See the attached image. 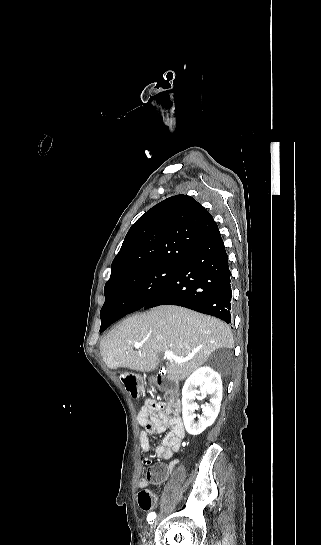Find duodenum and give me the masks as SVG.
I'll return each mask as SVG.
<instances>
[{
  "mask_svg": "<svg viewBox=\"0 0 321 545\" xmlns=\"http://www.w3.org/2000/svg\"><path fill=\"white\" fill-rule=\"evenodd\" d=\"M153 381L155 385L157 386V388L161 390L162 392H164L168 400H173L176 398V391H177L176 386L168 378L161 375H157Z\"/></svg>",
  "mask_w": 321,
  "mask_h": 545,
  "instance_id": "obj_1",
  "label": "duodenum"
}]
</instances>
